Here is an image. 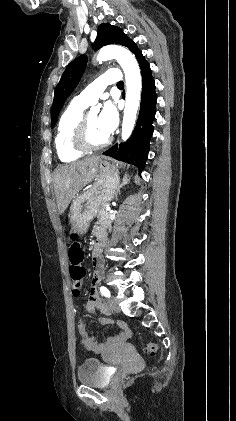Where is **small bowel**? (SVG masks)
I'll list each match as a JSON object with an SVG mask.
<instances>
[{
    "instance_id": "1",
    "label": "small bowel",
    "mask_w": 236,
    "mask_h": 421,
    "mask_svg": "<svg viewBox=\"0 0 236 421\" xmlns=\"http://www.w3.org/2000/svg\"><path fill=\"white\" fill-rule=\"evenodd\" d=\"M101 228V226H96L94 228V233L97 229ZM101 302L98 297L96 288L93 286L90 290V297L87 304V308L89 311L94 310L95 308L101 307ZM121 328L123 329L124 333L128 332V327L125 324L120 323ZM80 328L83 329V324L80 325Z\"/></svg>"
}]
</instances>
